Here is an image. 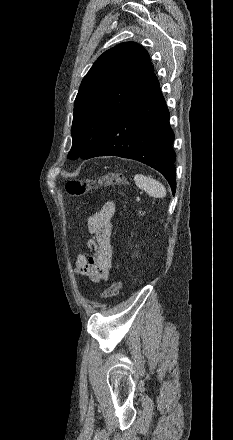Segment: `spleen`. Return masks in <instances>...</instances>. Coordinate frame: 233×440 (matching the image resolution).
<instances>
[{
  "label": "spleen",
  "mask_w": 233,
  "mask_h": 440,
  "mask_svg": "<svg viewBox=\"0 0 233 440\" xmlns=\"http://www.w3.org/2000/svg\"><path fill=\"white\" fill-rule=\"evenodd\" d=\"M134 181L140 189L146 191L151 197L163 198L166 196L165 187L156 179L136 174L134 176Z\"/></svg>",
  "instance_id": "1"
}]
</instances>
